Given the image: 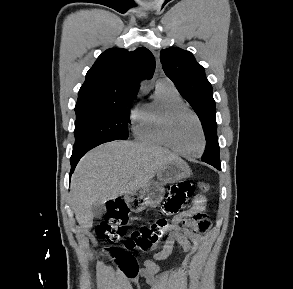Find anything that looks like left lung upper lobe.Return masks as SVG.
<instances>
[{"mask_svg": "<svg viewBox=\"0 0 293 289\" xmlns=\"http://www.w3.org/2000/svg\"><path fill=\"white\" fill-rule=\"evenodd\" d=\"M160 60L166 76L198 115L206 140H217V145L204 152L202 161L210 165L220 164L215 101L204 68L196 62L192 53L180 48L161 50Z\"/></svg>", "mask_w": 293, "mask_h": 289, "instance_id": "obj_1", "label": "left lung upper lobe"}]
</instances>
